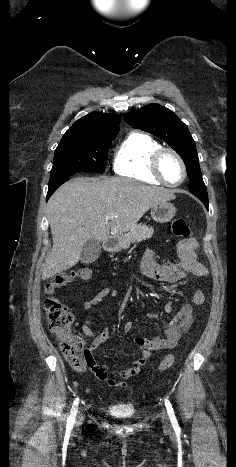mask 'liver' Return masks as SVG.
Here are the masks:
<instances>
[{"instance_id": "liver-1", "label": "liver", "mask_w": 236, "mask_h": 467, "mask_svg": "<svg viewBox=\"0 0 236 467\" xmlns=\"http://www.w3.org/2000/svg\"><path fill=\"white\" fill-rule=\"evenodd\" d=\"M173 199L172 190L123 178L78 177L65 183L47 205L53 247L42 280L75 266L89 239L119 237L154 205Z\"/></svg>"}]
</instances>
